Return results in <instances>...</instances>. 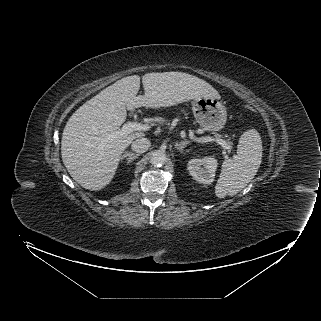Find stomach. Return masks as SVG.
I'll return each mask as SVG.
<instances>
[{
	"label": "stomach",
	"mask_w": 321,
	"mask_h": 321,
	"mask_svg": "<svg viewBox=\"0 0 321 321\" xmlns=\"http://www.w3.org/2000/svg\"><path fill=\"white\" fill-rule=\"evenodd\" d=\"M194 117L206 131L221 130L227 119L225 106L215 97H202L192 102Z\"/></svg>",
	"instance_id": "stomach-1"
}]
</instances>
